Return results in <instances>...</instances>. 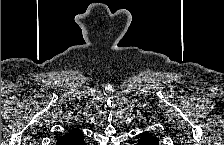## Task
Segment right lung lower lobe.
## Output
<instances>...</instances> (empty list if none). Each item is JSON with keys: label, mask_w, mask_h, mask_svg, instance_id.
I'll use <instances>...</instances> for the list:
<instances>
[{"label": "right lung lower lobe", "mask_w": 224, "mask_h": 145, "mask_svg": "<svg viewBox=\"0 0 224 145\" xmlns=\"http://www.w3.org/2000/svg\"><path fill=\"white\" fill-rule=\"evenodd\" d=\"M76 145H83L84 144V141H83V138H81L79 141H77L75 143Z\"/></svg>", "instance_id": "1"}]
</instances>
